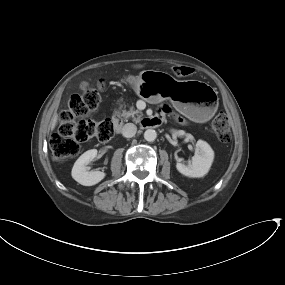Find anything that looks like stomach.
Here are the masks:
<instances>
[{"mask_svg": "<svg viewBox=\"0 0 285 285\" xmlns=\"http://www.w3.org/2000/svg\"><path fill=\"white\" fill-rule=\"evenodd\" d=\"M126 81L143 100L151 103L155 97L168 99L177 111L195 122L208 121L217 110L216 92L202 81L176 80L157 70H144Z\"/></svg>", "mask_w": 285, "mask_h": 285, "instance_id": "0dacf381", "label": "stomach"}]
</instances>
